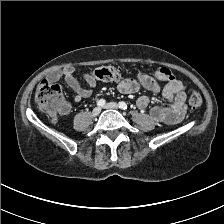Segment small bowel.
<instances>
[{"instance_id":"small-bowel-1","label":"small bowel","mask_w":224,"mask_h":224,"mask_svg":"<svg viewBox=\"0 0 224 224\" xmlns=\"http://www.w3.org/2000/svg\"><path fill=\"white\" fill-rule=\"evenodd\" d=\"M76 69L73 66H66L62 69L51 72L46 82H55L63 78L66 84L75 92L74 100L80 101L92 94L91 89L84 88L75 76ZM84 80L90 87L97 85L96 79L88 74L83 75ZM147 89L150 92H160L162 97L169 103L168 106H154L150 110L151 118L159 123L174 125L181 122L186 113V93L185 85L180 80H172L165 84L162 88L152 78L143 75L140 80L126 78L122 80L118 88L122 93L130 94L137 92L140 87ZM150 104V98L147 95L140 96L137 100V105L141 109H145ZM63 111V113L67 112Z\"/></svg>"}]
</instances>
